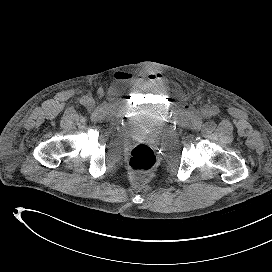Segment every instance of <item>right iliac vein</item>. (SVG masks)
<instances>
[{"label": "right iliac vein", "mask_w": 272, "mask_h": 272, "mask_svg": "<svg viewBox=\"0 0 272 272\" xmlns=\"http://www.w3.org/2000/svg\"><path fill=\"white\" fill-rule=\"evenodd\" d=\"M94 104H95V102H94V100H93L92 98H88V99H87V105H88L89 107H93Z\"/></svg>", "instance_id": "right-iliac-vein-1"}]
</instances>
